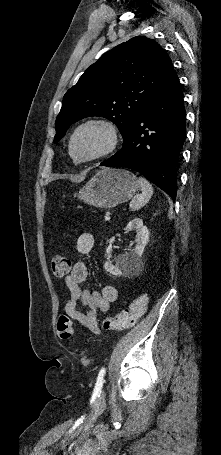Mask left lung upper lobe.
<instances>
[{"mask_svg":"<svg viewBox=\"0 0 221 455\" xmlns=\"http://www.w3.org/2000/svg\"><path fill=\"white\" fill-rule=\"evenodd\" d=\"M173 71L167 53L155 41L134 37L106 52L69 89L56 119L57 143L74 122L103 116L114 122L123 139L137 115Z\"/></svg>","mask_w":221,"mask_h":455,"instance_id":"left-lung-upper-lobe-1","label":"left lung upper lobe"}]
</instances>
